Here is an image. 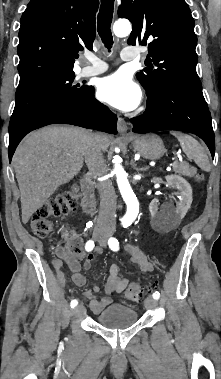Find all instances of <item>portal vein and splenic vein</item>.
Returning <instances> with one entry per match:
<instances>
[{
    "label": "portal vein and splenic vein",
    "instance_id": "1",
    "mask_svg": "<svg viewBox=\"0 0 221 379\" xmlns=\"http://www.w3.org/2000/svg\"><path fill=\"white\" fill-rule=\"evenodd\" d=\"M171 165H172L173 168H174V166L176 165V161H174Z\"/></svg>",
    "mask_w": 221,
    "mask_h": 379
}]
</instances>
